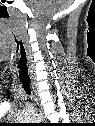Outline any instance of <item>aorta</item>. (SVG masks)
Segmentation results:
<instances>
[{
  "label": "aorta",
  "mask_w": 95,
  "mask_h": 126,
  "mask_svg": "<svg viewBox=\"0 0 95 126\" xmlns=\"http://www.w3.org/2000/svg\"><path fill=\"white\" fill-rule=\"evenodd\" d=\"M39 116H37V115H33L32 117H31V120L32 121H39Z\"/></svg>",
  "instance_id": "1"
}]
</instances>
